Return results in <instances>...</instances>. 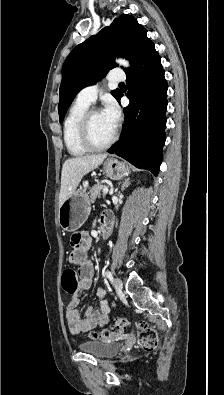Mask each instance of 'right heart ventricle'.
Here are the masks:
<instances>
[{"mask_svg":"<svg viewBox=\"0 0 224 395\" xmlns=\"http://www.w3.org/2000/svg\"><path fill=\"white\" fill-rule=\"evenodd\" d=\"M88 108L89 104L76 100L70 107L64 121V142L68 152L75 157L83 156L88 151L81 143L79 136L80 120Z\"/></svg>","mask_w":224,"mask_h":395,"instance_id":"obj_1","label":"right heart ventricle"}]
</instances>
